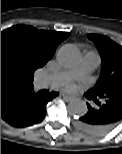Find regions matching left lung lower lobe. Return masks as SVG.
I'll list each match as a JSON object with an SVG mask.
<instances>
[{
	"mask_svg": "<svg viewBox=\"0 0 122 154\" xmlns=\"http://www.w3.org/2000/svg\"><path fill=\"white\" fill-rule=\"evenodd\" d=\"M86 98L97 104L92 107L87 103L88 112L75 122V126L91 135H102L111 131L122 121V89L103 99L85 94Z\"/></svg>",
	"mask_w": 122,
	"mask_h": 154,
	"instance_id": "0a47b994",
	"label": "left lung lower lobe"
}]
</instances>
